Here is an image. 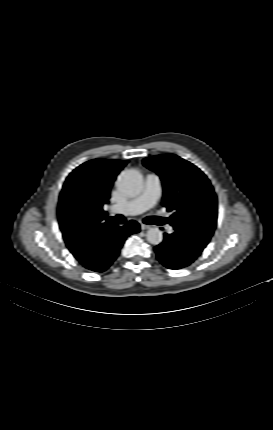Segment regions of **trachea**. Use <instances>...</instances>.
<instances>
[{
	"instance_id": "trachea-1",
	"label": "trachea",
	"mask_w": 273,
	"mask_h": 430,
	"mask_svg": "<svg viewBox=\"0 0 273 430\" xmlns=\"http://www.w3.org/2000/svg\"><path fill=\"white\" fill-rule=\"evenodd\" d=\"M116 221L120 224H124L125 223V218L122 215H117L116 216ZM160 220L156 217H148L146 219H144V222L146 224H156L158 223Z\"/></svg>"
}]
</instances>
